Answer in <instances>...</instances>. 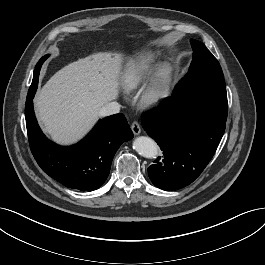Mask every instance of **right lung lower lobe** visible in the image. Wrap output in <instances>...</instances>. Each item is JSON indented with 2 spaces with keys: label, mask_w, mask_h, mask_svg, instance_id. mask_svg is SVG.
I'll return each instance as SVG.
<instances>
[{
  "label": "right lung lower lobe",
  "mask_w": 265,
  "mask_h": 265,
  "mask_svg": "<svg viewBox=\"0 0 265 265\" xmlns=\"http://www.w3.org/2000/svg\"><path fill=\"white\" fill-rule=\"evenodd\" d=\"M43 62L37 63L40 71ZM28 93L25 106L26 127L32 154L41 169L72 189L92 191L107 179L113 157L119 146L133 138L123 114L106 117L96 124L79 143L63 147L48 140L35 118L32 99Z\"/></svg>",
  "instance_id": "98d812e1"
}]
</instances>
